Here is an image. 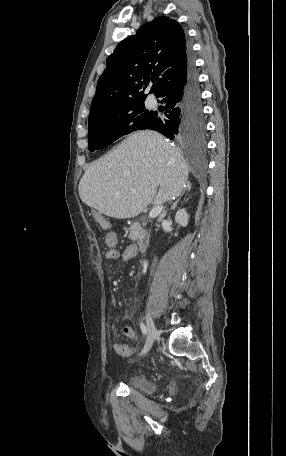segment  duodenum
<instances>
[{"instance_id":"1","label":"duodenum","mask_w":286,"mask_h":456,"mask_svg":"<svg viewBox=\"0 0 286 456\" xmlns=\"http://www.w3.org/2000/svg\"><path fill=\"white\" fill-rule=\"evenodd\" d=\"M149 243L150 234L145 228L141 227L139 230V238L137 243L138 249L140 251H144L148 247Z\"/></svg>"}]
</instances>
